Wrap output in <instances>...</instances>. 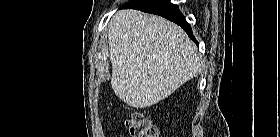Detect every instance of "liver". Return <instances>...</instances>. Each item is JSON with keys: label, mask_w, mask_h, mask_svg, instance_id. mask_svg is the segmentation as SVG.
<instances>
[{"label": "liver", "mask_w": 280, "mask_h": 137, "mask_svg": "<svg viewBox=\"0 0 280 137\" xmlns=\"http://www.w3.org/2000/svg\"><path fill=\"white\" fill-rule=\"evenodd\" d=\"M108 28L111 86L131 107H150L201 72L194 43L162 17L122 10Z\"/></svg>", "instance_id": "liver-1"}]
</instances>
